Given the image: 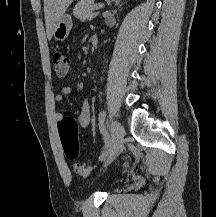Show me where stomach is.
I'll return each mask as SVG.
<instances>
[{
	"label": "stomach",
	"mask_w": 216,
	"mask_h": 217,
	"mask_svg": "<svg viewBox=\"0 0 216 217\" xmlns=\"http://www.w3.org/2000/svg\"><path fill=\"white\" fill-rule=\"evenodd\" d=\"M72 28V19L70 15H63L58 21L54 31L53 37L58 41H64Z\"/></svg>",
	"instance_id": "0dacf381"
}]
</instances>
